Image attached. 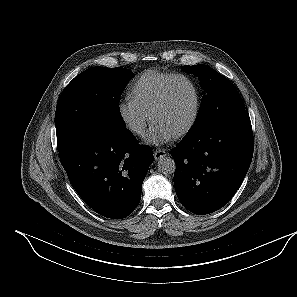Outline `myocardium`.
<instances>
[{
    "instance_id": "f54148a6",
    "label": "myocardium",
    "mask_w": 297,
    "mask_h": 297,
    "mask_svg": "<svg viewBox=\"0 0 297 297\" xmlns=\"http://www.w3.org/2000/svg\"><path fill=\"white\" fill-rule=\"evenodd\" d=\"M180 80L186 81L191 85L193 92H194V96H195V105H194V110H193L192 116H191L190 120L188 121V123L181 130H179L175 135H173V137L176 139L187 135L193 129V127L195 126V124L198 120V117L200 114V109H201V94H200V90H199L196 82L191 77H189L187 75L177 74L176 76H174L171 80H169L166 83V85L163 87L159 97L154 102V104L152 105V107L149 111V119L152 122L154 114L167 101L168 95H169V92H170L172 86Z\"/></svg>"
}]
</instances>
